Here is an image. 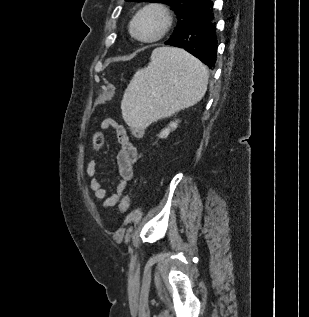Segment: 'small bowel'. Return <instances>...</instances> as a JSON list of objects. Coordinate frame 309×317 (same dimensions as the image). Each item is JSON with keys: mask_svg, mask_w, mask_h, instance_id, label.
<instances>
[{"mask_svg": "<svg viewBox=\"0 0 309 317\" xmlns=\"http://www.w3.org/2000/svg\"><path fill=\"white\" fill-rule=\"evenodd\" d=\"M104 130H113L116 134L120 150L116 161L118 167V185L116 191L108 195L101 180L97 177L99 164L96 160H91L86 168V174L91 179L90 188L95 198L102 200V206L111 209L120 204L122 196L126 190L127 183L132 180L134 175V165L137 160V150L131 143L126 128L113 119H105L102 122Z\"/></svg>", "mask_w": 309, "mask_h": 317, "instance_id": "c3829d8e", "label": "small bowel"}]
</instances>
